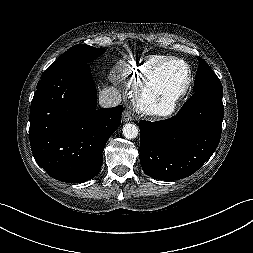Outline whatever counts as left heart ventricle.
Instances as JSON below:
<instances>
[{
	"mask_svg": "<svg viewBox=\"0 0 253 253\" xmlns=\"http://www.w3.org/2000/svg\"><path fill=\"white\" fill-rule=\"evenodd\" d=\"M187 79V69L183 64H167L155 77L152 84L153 93H174L181 89Z\"/></svg>",
	"mask_w": 253,
	"mask_h": 253,
	"instance_id": "left-heart-ventricle-1",
	"label": "left heart ventricle"
}]
</instances>
